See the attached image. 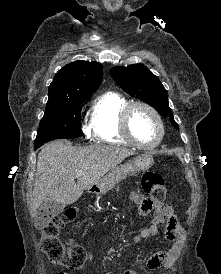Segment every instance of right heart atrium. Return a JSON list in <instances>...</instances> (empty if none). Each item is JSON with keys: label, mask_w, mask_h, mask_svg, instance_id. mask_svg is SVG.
<instances>
[{"label": "right heart atrium", "mask_w": 221, "mask_h": 274, "mask_svg": "<svg viewBox=\"0 0 221 274\" xmlns=\"http://www.w3.org/2000/svg\"><path fill=\"white\" fill-rule=\"evenodd\" d=\"M83 132L86 136H89L90 135V129L88 126L84 125L83 126Z\"/></svg>", "instance_id": "d8ad5b80"}]
</instances>
